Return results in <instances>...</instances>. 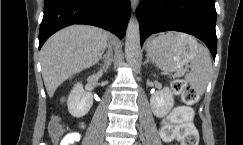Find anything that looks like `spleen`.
I'll return each mask as SVG.
<instances>
[{"mask_svg":"<svg viewBox=\"0 0 243 145\" xmlns=\"http://www.w3.org/2000/svg\"><path fill=\"white\" fill-rule=\"evenodd\" d=\"M197 49V55L191 60V70L185 75V79L198 95H202L212 72V61L204 46L197 44Z\"/></svg>","mask_w":243,"mask_h":145,"instance_id":"3e777b00","label":"spleen"}]
</instances>
